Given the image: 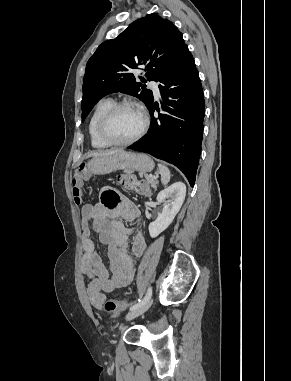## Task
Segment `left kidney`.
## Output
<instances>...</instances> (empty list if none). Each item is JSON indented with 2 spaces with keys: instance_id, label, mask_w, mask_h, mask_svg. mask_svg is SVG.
<instances>
[{
  "instance_id": "obj_1",
  "label": "left kidney",
  "mask_w": 291,
  "mask_h": 381,
  "mask_svg": "<svg viewBox=\"0 0 291 381\" xmlns=\"http://www.w3.org/2000/svg\"><path fill=\"white\" fill-rule=\"evenodd\" d=\"M185 196L186 185L182 182H175L159 192L157 202L164 203V206L157 219L149 225V234L152 238L157 237L172 223L185 200Z\"/></svg>"
}]
</instances>
